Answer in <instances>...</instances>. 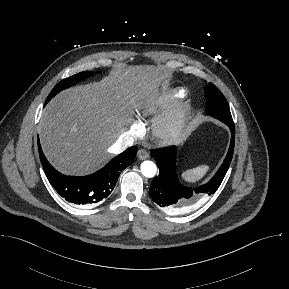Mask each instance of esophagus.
I'll return each instance as SVG.
<instances>
[{
	"instance_id": "1",
	"label": "esophagus",
	"mask_w": 289,
	"mask_h": 289,
	"mask_svg": "<svg viewBox=\"0 0 289 289\" xmlns=\"http://www.w3.org/2000/svg\"><path fill=\"white\" fill-rule=\"evenodd\" d=\"M137 157L140 160L147 159L149 157V153L145 149H140L137 153Z\"/></svg>"
}]
</instances>
